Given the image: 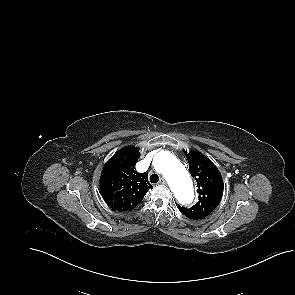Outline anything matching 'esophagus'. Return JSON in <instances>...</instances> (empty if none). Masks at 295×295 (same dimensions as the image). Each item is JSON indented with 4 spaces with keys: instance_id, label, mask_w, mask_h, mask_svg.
Listing matches in <instances>:
<instances>
[{
    "instance_id": "34e87169",
    "label": "esophagus",
    "mask_w": 295,
    "mask_h": 295,
    "mask_svg": "<svg viewBox=\"0 0 295 295\" xmlns=\"http://www.w3.org/2000/svg\"><path fill=\"white\" fill-rule=\"evenodd\" d=\"M159 183L165 185V184H166V180H165L164 178H161V179L159 180Z\"/></svg>"
}]
</instances>
